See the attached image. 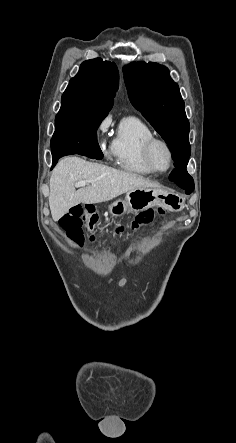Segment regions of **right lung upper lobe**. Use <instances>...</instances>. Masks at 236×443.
<instances>
[{
	"label": "right lung upper lobe",
	"instance_id": "1",
	"mask_svg": "<svg viewBox=\"0 0 236 443\" xmlns=\"http://www.w3.org/2000/svg\"><path fill=\"white\" fill-rule=\"evenodd\" d=\"M118 84L119 73L114 62L101 58L84 61L62 95L61 109L108 113Z\"/></svg>",
	"mask_w": 236,
	"mask_h": 443
}]
</instances>
